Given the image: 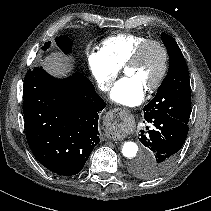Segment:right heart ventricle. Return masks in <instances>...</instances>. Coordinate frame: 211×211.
Wrapping results in <instances>:
<instances>
[{
    "label": "right heart ventricle",
    "mask_w": 211,
    "mask_h": 211,
    "mask_svg": "<svg viewBox=\"0 0 211 211\" xmlns=\"http://www.w3.org/2000/svg\"><path fill=\"white\" fill-rule=\"evenodd\" d=\"M147 38L143 35L123 33L108 37L102 41L101 51L119 69L122 68L128 58L139 44Z\"/></svg>",
    "instance_id": "right-heart-ventricle-1"
}]
</instances>
